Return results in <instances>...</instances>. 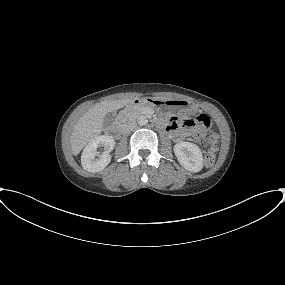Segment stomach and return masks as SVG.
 I'll use <instances>...</instances> for the list:
<instances>
[{"mask_svg":"<svg viewBox=\"0 0 285 285\" xmlns=\"http://www.w3.org/2000/svg\"><path fill=\"white\" fill-rule=\"evenodd\" d=\"M142 105L148 106L160 113H177L192 108L190 102L182 99L160 100L156 98H145L142 100Z\"/></svg>","mask_w":285,"mask_h":285,"instance_id":"obj_1","label":"stomach"}]
</instances>
